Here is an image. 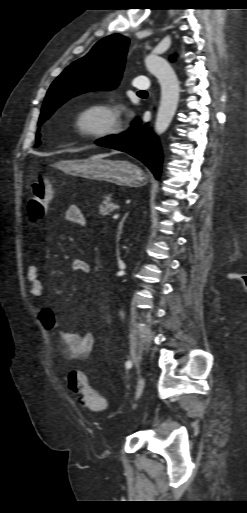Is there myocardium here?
<instances>
[{
  "label": "myocardium",
  "mask_w": 247,
  "mask_h": 513,
  "mask_svg": "<svg viewBox=\"0 0 247 513\" xmlns=\"http://www.w3.org/2000/svg\"><path fill=\"white\" fill-rule=\"evenodd\" d=\"M69 123L77 135L94 139L112 136L120 130L116 108L101 101L77 106L70 114Z\"/></svg>",
  "instance_id": "obj_1"
}]
</instances>
